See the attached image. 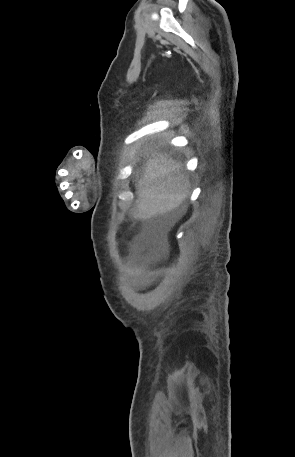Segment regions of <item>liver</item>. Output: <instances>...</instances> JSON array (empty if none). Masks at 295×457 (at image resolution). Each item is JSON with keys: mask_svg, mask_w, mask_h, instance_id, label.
Returning a JSON list of instances; mask_svg holds the SVG:
<instances>
[{"mask_svg": "<svg viewBox=\"0 0 295 457\" xmlns=\"http://www.w3.org/2000/svg\"><path fill=\"white\" fill-rule=\"evenodd\" d=\"M143 176L136 184L134 218L148 220L177 209L189 196L190 182L180 162L151 151Z\"/></svg>", "mask_w": 295, "mask_h": 457, "instance_id": "6515ba94", "label": "liver"}]
</instances>
